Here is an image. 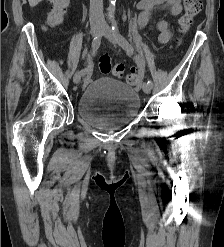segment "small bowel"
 Instances as JSON below:
<instances>
[{
  "label": "small bowel",
  "instance_id": "1",
  "mask_svg": "<svg viewBox=\"0 0 224 247\" xmlns=\"http://www.w3.org/2000/svg\"><path fill=\"white\" fill-rule=\"evenodd\" d=\"M137 9L139 11L137 23L140 28H143L154 15L160 12L168 11L172 16L179 15L182 11V5L181 0H140ZM157 29L159 41L167 43L171 37L168 23L164 20L159 21ZM131 72L136 73V69L132 68Z\"/></svg>",
  "mask_w": 224,
  "mask_h": 247
}]
</instances>
